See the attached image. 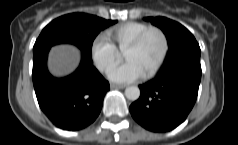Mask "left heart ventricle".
Returning <instances> with one entry per match:
<instances>
[{
	"instance_id": "1",
	"label": "left heart ventricle",
	"mask_w": 238,
	"mask_h": 145,
	"mask_svg": "<svg viewBox=\"0 0 238 145\" xmlns=\"http://www.w3.org/2000/svg\"><path fill=\"white\" fill-rule=\"evenodd\" d=\"M161 50L162 39L157 32H152L138 48L124 51L123 55L126 60L133 61L144 74L157 61Z\"/></svg>"
}]
</instances>
